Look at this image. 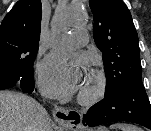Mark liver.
I'll return each mask as SVG.
<instances>
[{"label":"liver","instance_id":"obj_1","mask_svg":"<svg viewBox=\"0 0 151 131\" xmlns=\"http://www.w3.org/2000/svg\"><path fill=\"white\" fill-rule=\"evenodd\" d=\"M0 131H52L45 108L33 98L0 91Z\"/></svg>","mask_w":151,"mask_h":131}]
</instances>
